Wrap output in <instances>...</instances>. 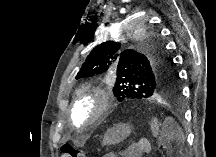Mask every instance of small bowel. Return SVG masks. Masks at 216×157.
Returning <instances> with one entry per match:
<instances>
[{
    "instance_id": "small-bowel-1",
    "label": "small bowel",
    "mask_w": 216,
    "mask_h": 157,
    "mask_svg": "<svg viewBox=\"0 0 216 157\" xmlns=\"http://www.w3.org/2000/svg\"><path fill=\"white\" fill-rule=\"evenodd\" d=\"M146 146L140 142L127 146L119 155L123 157H138L145 152Z\"/></svg>"
}]
</instances>
